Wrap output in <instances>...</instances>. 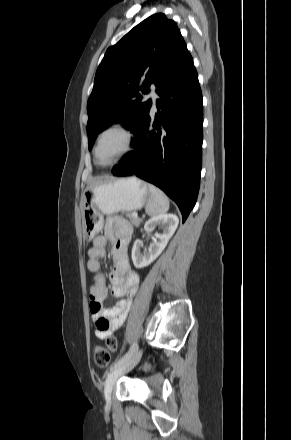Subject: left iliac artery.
Listing matches in <instances>:
<instances>
[{"mask_svg": "<svg viewBox=\"0 0 291 440\" xmlns=\"http://www.w3.org/2000/svg\"><path fill=\"white\" fill-rule=\"evenodd\" d=\"M136 350H138V345L137 343H133L129 351L125 353L117 362L114 363V365L110 368V371L127 362L136 352Z\"/></svg>", "mask_w": 291, "mask_h": 440, "instance_id": "1", "label": "left iliac artery"}]
</instances>
